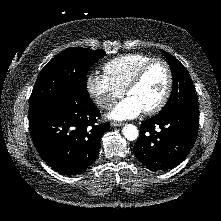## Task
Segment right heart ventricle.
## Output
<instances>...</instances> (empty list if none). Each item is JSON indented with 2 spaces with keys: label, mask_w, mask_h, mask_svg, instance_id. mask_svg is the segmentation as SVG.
Masks as SVG:
<instances>
[{
  "label": "right heart ventricle",
  "mask_w": 221,
  "mask_h": 221,
  "mask_svg": "<svg viewBox=\"0 0 221 221\" xmlns=\"http://www.w3.org/2000/svg\"><path fill=\"white\" fill-rule=\"evenodd\" d=\"M150 59V56L140 53L120 55L108 61L103 70L111 82L125 90L135 72Z\"/></svg>",
  "instance_id": "1"
}]
</instances>
